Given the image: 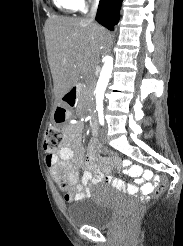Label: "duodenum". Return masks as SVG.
<instances>
[{"instance_id":"obj_1","label":"duodenum","mask_w":183,"mask_h":246,"mask_svg":"<svg viewBox=\"0 0 183 246\" xmlns=\"http://www.w3.org/2000/svg\"><path fill=\"white\" fill-rule=\"evenodd\" d=\"M81 91V86L75 85L63 96V101L71 107L76 106L78 95ZM103 144L100 143L99 139H94L93 143H90L89 151H101Z\"/></svg>"}]
</instances>
